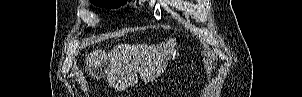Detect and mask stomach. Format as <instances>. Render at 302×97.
<instances>
[{
	"instance_id": "obj_1",
	"label": "stomach",
	"mask_w": 302,
	"mask_h": 97,
	"mask_svg": "<svg viewBox=\"0 0 302 97\" xmlns=\"http://www.w3.org/2000/svg\"><path fill=\"white\" fill-rule=\"evenodd\" d=\"M181 50H182V45L181 44L177 45L176 48H174L173 51L171 52L169 59L175 60L176 58H178Z\"/></svg>"
}]
</instances>
